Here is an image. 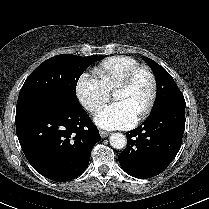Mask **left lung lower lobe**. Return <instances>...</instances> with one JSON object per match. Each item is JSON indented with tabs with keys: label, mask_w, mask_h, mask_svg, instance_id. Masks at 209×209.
Here are the masks:
<instances>
[{
	"label": "left lung lower lobe",
	"mask_w": 209,
	"mask_h": 209,
	"mask_svg": "<svg viewBox=\"0 0 209 209\" xmlns=\"http://www.w3.org/2000/svg\"><path fill=\"white\" fill-rule=\"evenodd\" d=\"M185 102L163 105L145 122L126 133L128 144L119 154L123 170L136 178L160 174L181 147L185 129Z\"/></svg>",
	"instance_id": "obj_1"
}]
</instances>
